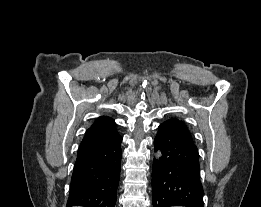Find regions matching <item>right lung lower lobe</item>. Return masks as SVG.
Instances as JSON below:
<instances>
[{
    "mask_svg": "<svg viewBox=\"0 0 261 207\" xmlns=\"http://www.w3.org/2000/svg\"><path fill=\"white\" fill-rule=\"evenodd\" d=\"M122 138L78 151L67 207H115Z\"/></svg>",
    "mask_w": 261,
    "mask_h": 207,
    "instance_id": "98d812e1",
    "label": "right lung lower lobe"
}]
</instances>
